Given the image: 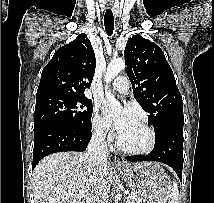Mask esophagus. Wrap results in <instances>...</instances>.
I'll return each mask as SVG.
<instances>
[{"mask_svg":"<svg viewBox=\"0 0 214 203\" xmlns=\"http://www.w3.org/2000/svg\"><path fill=\"white\" fill-rule=\"evenodd\" d=\"M108 7H110V6H108ZM114 164H115L116 167H122V164H121L120 160L118 158H116V157L114 159Z\"/></svg>","mask_w":214,"mask_h":203,"instance_id":"34e87169","label":"esophagus"}]
</instances>
